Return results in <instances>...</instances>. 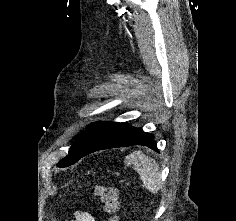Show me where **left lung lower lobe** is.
<instances>
[{
	"label": "left lung lower lobe",
	"mask_w": 236,
	"mask_h": 221,
	"mask_svg": "<svg viewBox=\"0 0 236 221\" xmlns=\"http://www.w3.org/2000/svg\"><path fill=\"white\" fill-rule=\"evenodd\" d=\"M145 145L157 150L156 142L142 129L131 127L126 123L103 122L90 142L80 151L77 161L92 152L113 147Z\"/></svg>",
	"instance_id": "obj_1"
}]
</instances>
